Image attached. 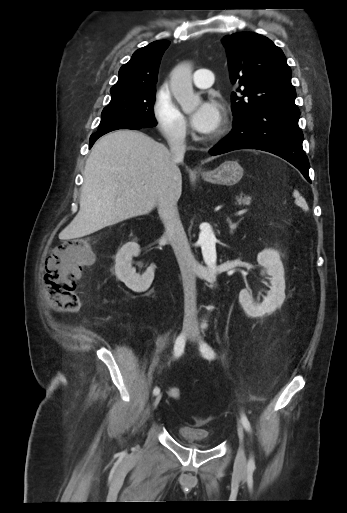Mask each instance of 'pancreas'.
I'll return each mask as SVG.
<instances>
[{"label":"pancreas","instance_id":"cf45deb5","mask_svg":"<svg viewBox=\"0 0 347 513\" xmlns=\"http://www.w3.org/2000/svg\"><path fill=\"white\" fill-rule=\"evenodd\" d=\"M238 201H239V204L245 203V201L242 198H240Z\"/></svg>","mask_w":347,"mask_h":513}]
</instances>
